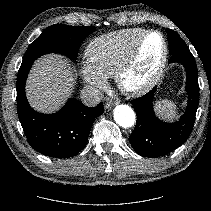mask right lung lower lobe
Returning a JSON list of instances; mask_svg holds the SVG:
<instances>
[{
  "label": "right lung lower lobe",
  "instance_id": "right-lung-lower-lobe-1",
  "mask_svg": "<svg viewBox=\"0 0 211 211\" xmlns=\"http://www.w3.org/2000/svg\"><path fill=\"white\" fill-rule=\"evenodd\" d=\"M33 62L21 64L16 85L18 117L28 143L52 158L77 155L87 144L94 120L104 112L103 104L91 108L71 98L54 114L34 111L25 95V82Z\"/></svg>",
  "mask_w": 211,
  "mask_h": 211
}]
</instances>
